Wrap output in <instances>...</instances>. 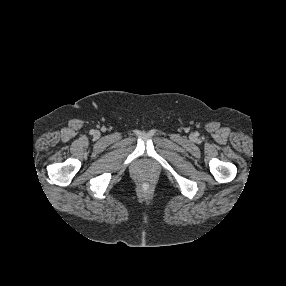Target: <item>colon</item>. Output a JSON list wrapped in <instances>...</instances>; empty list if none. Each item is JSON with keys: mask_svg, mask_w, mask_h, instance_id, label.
Listing matches in <instances>:
<instances>
[{"mask_svg": "<svg viewBox=\"0 0 286 286\" xmlns=\"http://www.w3.org/2000/svg\"><path fill=\"white\" fill-rule=\"evenodd\" d=\"M142 185H143L144 187H147V186H148V183H147V182H143Z\"/></svg>", "mask_w": 286, "mask_h": 286, "instance_id": "1", "label": "colon"}]
</instances>
